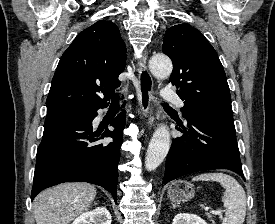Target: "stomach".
I'll return each mask as SVG.
<instances>
[{
    "label": "stomach",
    "mask_w": 275,
    "mask_h": 224,
    "mask_svg": "<svg viewBox=\"0 0 275 224\" xmlns=\"http://www.w3.org/2000/svg\"><path fill=\"white\" fill-rule=\"evenodd\" d=\"M194 187L191 183L183 180L174 181L168 188V198L177 204L187 202L194 197Z\"/></svg>",
    "instance_id": "stomach-1"
}]
</instances>
